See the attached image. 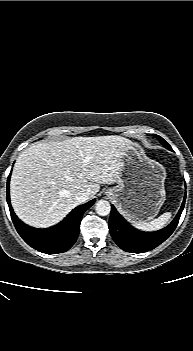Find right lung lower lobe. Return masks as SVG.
Here are the masks:
<instances>
[{"instance_id": "1", "label": "right lung lower lobe", "mask_w": 193, "mask_h": 351, "mask_svg": "<svg viewBox=\"0 0 193 351\" xmlns=\"http://www.w3.org/2000/svg\"><path fill=\"white\" fill-rule=\"evenodd\" d=\"M10 175L7 180V202L19 235L29 246L43 253L56 254L69 250L78 238L83 213L94 204L95 200L76 207L63 221L52 228H33L24 224L12 209L9 195Z\"/></svg>"}]
</instances>
